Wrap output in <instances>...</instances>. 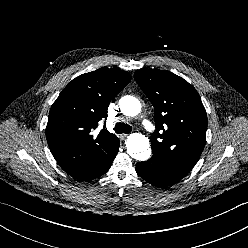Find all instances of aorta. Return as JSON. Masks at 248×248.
<instances>
[{"instance_id": "aorta-1", "label": "aorta", "mask_w": 248, "mask_h": 248, "mask_svg": "<svg viewBox=\"0 0 248 248\" xmlns=\"http://www.w3.org/2000/svg\"><path fill=\"white\" fill-rule=\"evenodd\" d=\"M121 112L126 116H136L141 112L140 101L133 96H123L119 100ZM126 148L128 154L140 161L150 158L149 139L142 134L133 133L127 137Z\"/></svg>"}]
</instances>
